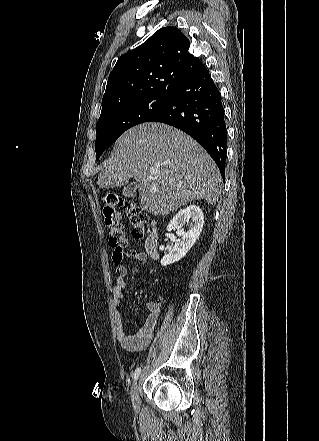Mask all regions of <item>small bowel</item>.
Masks as SVG:
<instances>
[{
    "instance_id": "small-bowel-1",
    "label": "small bowel",
    "mask_w": 319,
    "mask_h": 441,
    "mask_svg": "<svg viewBox=\"0 0 319 441\" xmlns=\"http://www.w3.org/2000/svg\"><path fill=\"white\" fill-rule=\"evenodd\" d=\"M128 257L133 261L144 264L147 260L145 253L137 250H131L128 253ZM116 280L111 290L112 303L114 306V320L116 327V335L119 344L127 351H142L144 350L151 340L153 339L161 311L160 301L150 300L146 303L148 315L145 319V323L142 329L134 334H129L124 330L122 316L120 313L121 302L123 298V290L126 286V277L128 275V269L122 264H116Z\"/></svg>"
}]
</instances>
